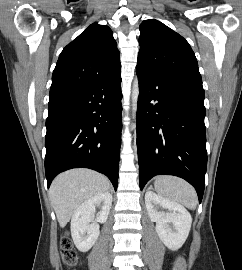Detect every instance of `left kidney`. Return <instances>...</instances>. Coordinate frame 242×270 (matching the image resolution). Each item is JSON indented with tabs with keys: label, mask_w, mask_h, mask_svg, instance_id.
I'll return each mask as SVG.
<instances>
[{
	"label": "left kidney",
	"mask_w": 242,
	"mask_h": 270,
	"mask_svg": "<svg viewBox=\"0 0 242 270\" xmlns=\"http://www.w3.org/2000/svg\"><path fill=\"white\" fill-rule=\"evenodd\" d=\"M145 204L151 221L156 222V232L165 246L173 251L181 248L192 223L187 209L149 190L145 193ZM160 208L167 209L168 212L160 211Z\"/></svg>",
	"instance_id": "obj_1"
}]
</instances>
